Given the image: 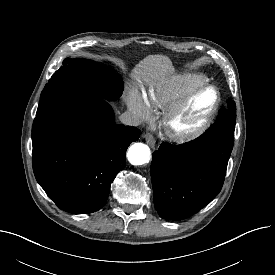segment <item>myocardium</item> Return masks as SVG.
<instances>
[{
	"mask_svg": "<svg viewBox=\"0 0 275 275\" xmlns=\"http://www.w3.org/2000/svg\"><path fill=\"white\" fill-rule=\"evenodd\" d=\"M212 90L215 93V102L207 113L205 118L195 127L185 130V131H177L173 128L174 120L187 108L191 100L197 96L198 94ZM220 93L218 89L209 84L202 85L197 87L190 92H188L185 96H183L180 100H178L175 104L166 109L163 118H162V126L166 135L173 141L176 142H186L192 139L197 138L201 134H203L211 125L218 109L220 106Z\"/></svg>",
	"mask_w": 275,
	"mask_h": 275,
	"instance_id": "obj_1",
	"label": "myocardium"
}]
</instances>
